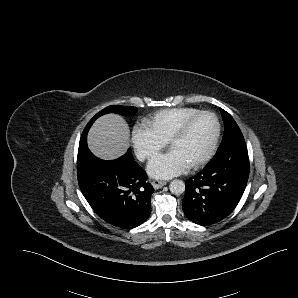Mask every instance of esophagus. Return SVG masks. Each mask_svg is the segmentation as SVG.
<instances>
[{
	"instance_id": "34e87169",
	"label": "esophagus",
	"mask_w": 298,
	"mask_h": 298,
	"mask_svg": "<svg viewBox=\"0 0 298 298\" xmlns=\"http://www.w3.org/2000/svg\"><path fill=\"white\" fill-rule=\"evenodd\" d=\"M165 185H166V182L165 181H161V180H154L152 182V186L154 187V189H160V188H162Z\"/></svg>"
}]
</instances>
